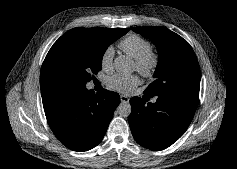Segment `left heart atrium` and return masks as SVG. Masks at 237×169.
<instances>
[{"instance_id":"left-heart-atrium-1","label":"left heart atrium","mask_w":237,"mask_h":169,"mask_svg":"<svg viewBox=\"0 0 237 169\" xmlns=\"http://www.w3.org/2000/svg\"><path fill=\"white\" fill-rule=\"evenodd\" d=\"M140 82L136 74H114L108 80V86L119 92H129Z\"/></svg>"}]
</instances>
